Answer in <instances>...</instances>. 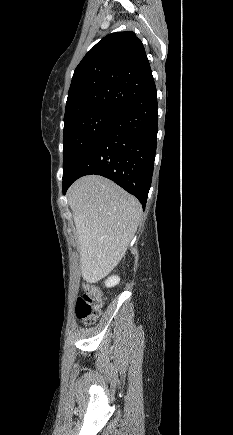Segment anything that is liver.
I'll use <instances>...</instances> for the list:
<instances>
[{
    "mask_svg": "<svg viewBox=\"0 0 233 435\" xmlns=\"http://www.w3.org/2000/svg\"><path fill=\"white\" fill-rule=\"evenodd\" d=\"M84 280L108 275L124 257L142 212L139 201L111 180L84 176L69 188Z\"/></svg>",
    "mask_w": 233,
    "mask_h": 435,
    "instance_id": "1",
    "label": "liver"
}]
</instances>
